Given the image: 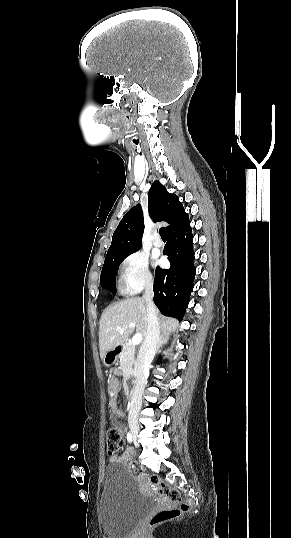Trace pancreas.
Listing matches in <instances>:
<instances>
[{
  "label": "pancreas",
  "mask_w": 291,
  "mask_h": 538,
  "mask_svg": "<svg viewBox=\"0 0 291 538\" xmlns=\"http://www.w3.org/2000/svg\"><path fill=\"white\" fill-rule=\"evenodd\" d=\"M119 358L121 369L125 372L132 371V364L134 363L135 359V351L132 344L126 343L124 345V351L120 354Z\"/></svg>",
  "instance_id": "1"
}]
</instances>
